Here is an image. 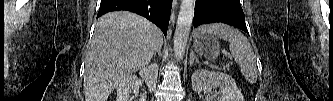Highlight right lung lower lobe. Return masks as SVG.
Wrapping results in <instances>:
<instances>
[{"instance_id": "98d812e1", "label": "right lung lower lobe", "mask_w": 333, "mask_h": 101, "mask_svg": "<svg viewBox=\"0 0 333 101\" xmlns=\"http://www.w3.org/2000/svg\"><path fill=\"white\" fill-rule=\"evenodd\" d=\"M172 0H101L97 18L111 11L126 10L144 16L166 36Z\"/></svg>"}]
</instances>
